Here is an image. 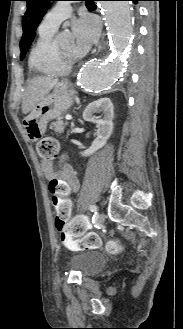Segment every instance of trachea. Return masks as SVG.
<instances>
[{"instance_id": "1", "label": "trachea", "mask_w": 183, "mask_h": 329, "mask_svg": "<svg viewBox=\"0 0 183 329\" xmlns=\"http://www.w3.org/2000/svg\"><path fill=\"white\" fill-rule=\"evenodd\" d=\"M86 4H87V5H91L92 2H91L90 0H86Z\"/></svg>"}]
</instances>
